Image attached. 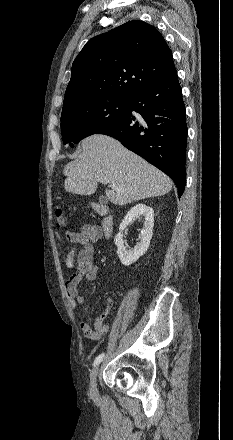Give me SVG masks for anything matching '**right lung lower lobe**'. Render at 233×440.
<instances>
[{
    "label": "right lung lower lobe",
    "mask_w": 233,
    "mask_h": 440,
    "mask_svg": "<svg viewBox=\"0 0 233 440\" xmlns=\"http://www.w3.org/2000/svg\"><path fill=\"white\" fill-rule=\"evenodd\" d=\"M132 111L139 116L132 115ZM119 140L169 177L183 194L186 180L187 125L176 70L135 92L124 114L98 132Z\"/></svg>",
    "instance_id": "98d812e1"
}]
</instances>
